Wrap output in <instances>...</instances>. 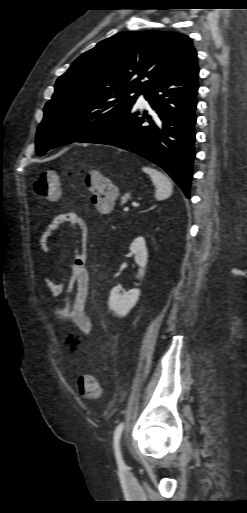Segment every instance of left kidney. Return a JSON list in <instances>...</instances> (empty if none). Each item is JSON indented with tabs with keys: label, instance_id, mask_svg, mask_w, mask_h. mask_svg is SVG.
<instances>
[{
	"label": "left kidney",
	"instance_id": "obj_1",
	"mask_svg": "<svg viewBox=\"0 0 247 513\" xmlns=\"http://www.w3.org/2000/svg\"><path fill=\"white\" fill-rule=\"evenodd\" d=\"M130 251L135 255V262L139 266L137 278L144 277L145 267L148 261V251L143 237L136 238L130 245ZM140 290L135 288L128 292L121 287H114L110 292L108 305L118 316H125L138 301Z\"/></svg>",
	"mask_w": 247,
	"mask_h": 513
}]
</instances>
